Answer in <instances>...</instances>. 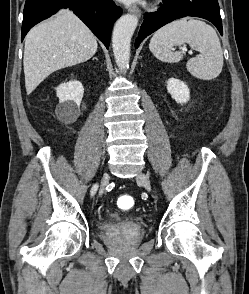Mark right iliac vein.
I'll return each instance as SVG.
<instances>
[{"instance_id":"obj_1","label":"right iliac vein","mask_w":249,"mask_h":294,"mask_svg":"<svg viewBox=\"0 0 249 294\" xmlns=\"http://www.w3.org/2000/svg\"><path fill=\"white\" fill-rule=\"evenodd\" d=\"M109 183V175L108 174H105L102 178V185H101V188H100V196L103 195L104 191H105V188L107 186V184Z\"/></svg>"}]
</instances>
